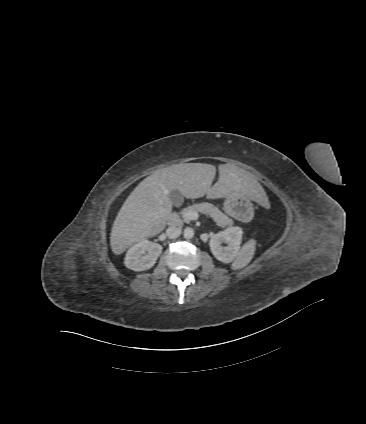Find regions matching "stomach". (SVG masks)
Wrapping results in <instances>:
<instances>
[{
    "instance_id": "0dacf381",
    "label": "stomach",
    "mask_w": 366,
    "mask_h": 424,
    "mask_svg": "<svg viewBox=\"0 0 366 424\" xmlns=\"http://www.w3.org/2000/svg\"><path fill=\"white\" fill-rule=\"evenodd\" d=\"M247 208L252 210V203L250 198L248 197H226L224 202V211L231 217L241 218V214L239 212V208Z\"/></svg>"
}]
</instances>
